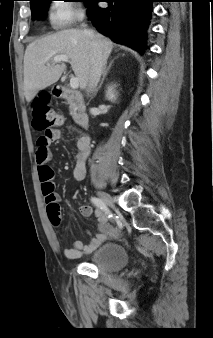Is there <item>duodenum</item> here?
<instances>
[{"mask_svg": "<svg viewBox=\"0 0 213 338\" xmlns=\"http://www.w3.org/2000/svg\"><path fill=\"white\" fill-rule=\"evenodd\" d=\"M56 99H62L71 105L73 115L79 126L87 128L90 125V116L86 111L82 95L72 89L66 87H56L53 90Z\"/></svg>", "mask_w": 213, "mask_h": 338, "instance_id": "410a0bca", "label": "duodenum"}]
</instances>
